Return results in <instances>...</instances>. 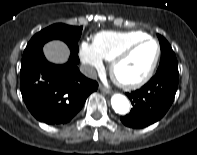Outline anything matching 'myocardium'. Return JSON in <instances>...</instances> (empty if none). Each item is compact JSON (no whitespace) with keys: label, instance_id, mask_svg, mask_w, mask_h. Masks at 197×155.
Here are the masks:
<instances>
[{"label":"myocardium","instance_id":"1","mask_svg":"<svg viewBox=\"0 0 197 155\" xmlns=\"http://www.w3.org/2000/svg\"><path fill=\"white\" fill-rule=\"evenodd\" d=\"M146 42H153L156 45V53H155V57L150 65V67L148 68V70L146 71V73L144 74L143 77H141L140 79H137L135 81H125L123 79H121L118 76L117 73V68L118 66L125 60L127 59L133 52L134 50H136L139 46H141L142 44L146 43ZM160 55H161V48H160V44L159 42L150 36H147L143 39H140L128 46H126L125 48H123L111 61V65H110V75L111 78L113 79V81L120 86L123 89L126 90H135L138 89L140 87H142L143 85H145L153 76L156 67L158 65L159 59H160Z\"/></svg>","mask_w":197,"mask_h":155}]
</instances>
